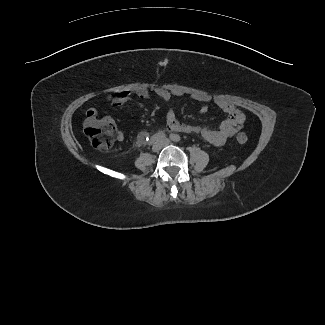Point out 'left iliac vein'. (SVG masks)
I'll return each instance as SVG.
<instances>
[{
  "label": "left iliac vein",
  "mask_w": 325,
  "mask_h": 325,
  "mask_svg": "<svg viewBox=\"0 0 325 325\" xmlns=\"http://www.w3.org/2000/svg\"><path fill=\"white\" fill-rule=\"evenodd\" d=\"M169 141L167 139L163 140V145H168Z\"/></svg>",
  "instance_id": "1"
}]
</instances>
